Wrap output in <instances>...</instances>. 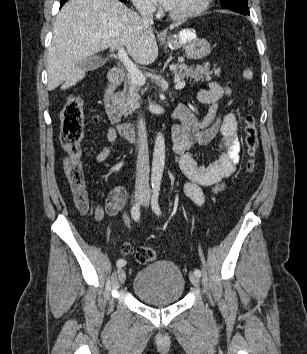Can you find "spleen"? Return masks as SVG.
I'll list each match as a JSON object with an SVG mask.
<instances>
[{
  "label": "spleen",
  "instance_id": "3e777b00",
  "mask_svg": "<svg viewBox=\"0 0 307 354\" xmlns=\"http://www.w3.org/2000/svg\"><path fill=\"white\" fill-rule=\"evenodd\" d=\"M243 76H244V78H246V79H251L252 76H253V73H252V71H251L250 69H247V70H245V71L243 72Z\"/></svg>",
  "mask_w": 307,
  "mask_h": 354
}]
</instances>
